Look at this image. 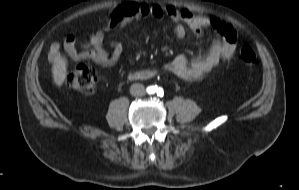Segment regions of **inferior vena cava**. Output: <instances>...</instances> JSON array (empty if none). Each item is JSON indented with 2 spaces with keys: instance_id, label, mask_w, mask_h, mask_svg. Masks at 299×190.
Returning a JSON list of instances; mask_svg holds the SVG:
<instances>
[{
  "instance_id": "obj_1",
  "label": "inferior vena cava",
  "mask_w": 299,
  "mask_h": 190,
  "mask_svg": "<svg viewBox=\"0 0 299 190\" xmlns=\"http://www.w3.org/2000/svg\"><path fill=\"white\" fill-rule=\"evenodd\" d=\"M130 93L133 96H143L145 95V88L141 84H133L130 88Z\"/></svg>"
}]
</instances>
